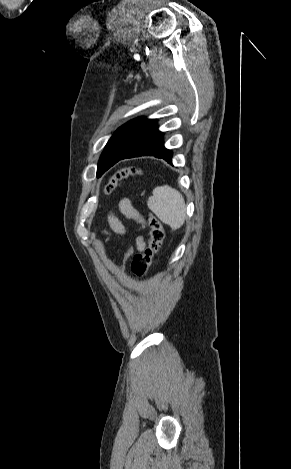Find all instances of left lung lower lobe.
Returning a JSON list of instances; mask_svg holds the SVG:
<instances>
[{
    "label": "left lung lower lobe",
    "mask_w": 291,
    "mask_h": 469,
    "mask_svg": "<svg viewBox=\"0 0 291 469\" xmlns=\"http://www.w3.org/2000/svg\"><path fill=\"white\" fill-rule=\"evenodd\" d=\"M139 156H154L157 158H163L169 163L172 162V152L164 147L163 135L158 129L144 137L125 154L120 156L116 160V163L122 159Z\"/></svg>",
    "instance_id": "1"
}]
</instances>
